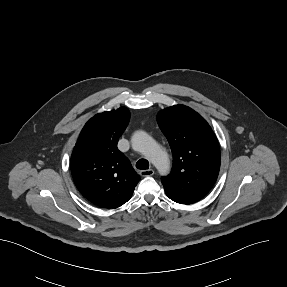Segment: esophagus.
Wrapping results in <instances>:
<instances>
[{"label": "esophagus", "mask_w": 287, "mask_h": 287, "mask_svg": "<svg viewBox=\"0 0 287 287\" xmlns=\"http://www.w3.org/2000/svg\"><path fill=\"white\" fill-rule=\"evenodd\" d=\"M140 175L144 176V177L152 176V175H154V170L153 169L142 170V171H140Z\"/></svg>", "instance_id": "34e87169"}]
</instances>
